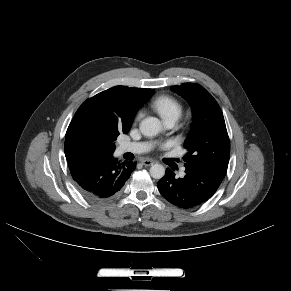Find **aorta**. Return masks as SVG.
<instances>
[{
  "instance_id": "aorta-1",
  "label": "aorta",
  "mask_w": 291,
  "mask_h": 291,
  "mask_svg": "<svg viewBox=\"0 0 291 291\" xmlns=\"http://www.w3.org/2000/svg\"><path fill=\"white\" fill-rule=\"evenodd\" d=\"M139 129L144 136H156L162 130V124L156 117H147L139 125ZM150 175L154 179H161L165 175V168L161 164H154L150 167Z\"/></svg>"
}]
</instances>
